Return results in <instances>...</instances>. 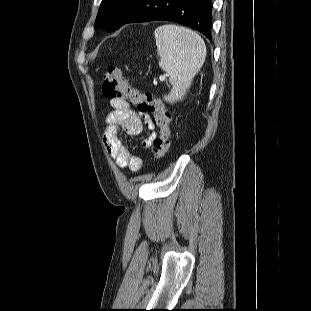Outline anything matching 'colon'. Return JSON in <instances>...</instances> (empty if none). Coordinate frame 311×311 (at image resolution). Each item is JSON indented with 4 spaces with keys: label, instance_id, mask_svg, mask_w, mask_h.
I'll return each mask as SVG.
<instances>
[{
    "label": "colon",
    "instance_id": "1",
    "mask_svg": "<svg viewBox=\"0 0 311 311\" xmlns=\"http://www.w3.org/2000/svg\"><path fill=\"white\" fill-rule=\"evenodd\" d=\"M103 93L110 100L130 102L137 106L139 112L152 114L154 123L159 127V135L150 146L154 159L163 158L170 145V112L149 92H140L128 85L121 68L116 64L107 66L103 76Z\"/></svg>",
    "mask_w": 311,
    "mask_h": 311
}]
</instances>
